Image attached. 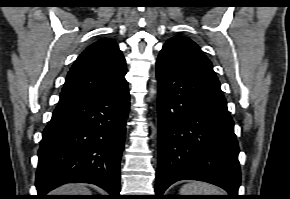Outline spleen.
Instances as JSON below:
<instances>
[{
  "instance_id": "spleen-1",
  "label": "spleen",
  "mask_w": 290,
  "mask_h": 199,
  "mask_svg": "<svg viewBox=\"0 0 290 199\" xmlns=\"http://www.w3.org/2000/svg\"><path fill=\"white\" fill-rule=\"evenodd\" d=\"M180 193L181 195H224L216 186L204 182L185 184L180 189Z\"/></svg>"
}]
</instances>
